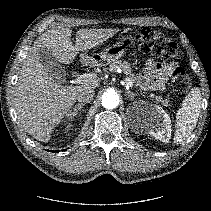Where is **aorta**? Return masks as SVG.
I'll list each match as a JSON object with an SVG mask.
<instances>
[{
	"label": "aorta",
	"mask_w": 211,
	"mask_h": 211,
	"mask_svg": "<svg viewBox=\"0 0 211 211\" xmlns=\"http://www.w3.org/2000/svg\"><path fill=\"white\" fill-rule=\"evenodd\" d=\"M119 101V96L115 91H107L102 95V106L106 109L116 108Z\"/></svg>",
	"instance_id": "1"
}]
</instances>
